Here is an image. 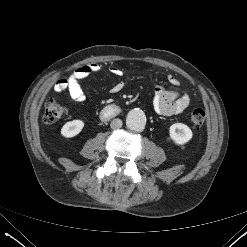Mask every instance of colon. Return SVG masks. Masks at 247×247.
I'll return each mask as SVG.
<instances>
[{
	"mask_svg": "<svg viewBox=\"0 0 247 247\" xmlns=\"http://www.w3.org/2000/svg\"><path fill=\"white\" fill-rule=\"evenodd\" d=\"M65 114V108L55 100L49 98L44 104L43 121L52 125ZM190 121L195 129H201L206 121V112L202 108H195L190 114Z\"/></svg>",
	"mask_w": 247,
	"mask_h": 247,
	"instance_id": "1",
	"label": "colon"
}]
</instances>
